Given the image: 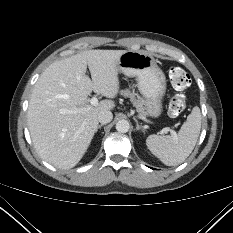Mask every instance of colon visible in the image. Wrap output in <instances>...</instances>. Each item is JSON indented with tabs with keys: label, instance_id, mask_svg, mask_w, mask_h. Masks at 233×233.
I'll use <instances>...</instances> for the list:
<instances>
[{
	"label": "colon",
	"instance_id": "5ec220e1",
	"mask_svg": "<svg viewBox=\"0 0 233 233\" xmlns=\"http://www.w3.org/2000/svg\"><path fill=\"white\" fill-rule=\"evenodd\" d=\"M169 80L179 92L186 90L191 84L189 74L179 66H172L168 72ZM186 107V97L184 94L179 93L173 96L169 103V113L172 116L180 115Z\"/></svg>",
	"mask_w": 233,
	"mask_h": 233
}]
</instances>
